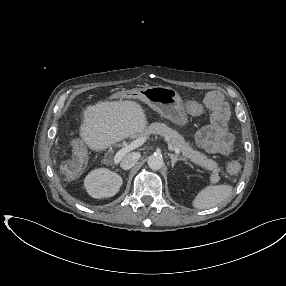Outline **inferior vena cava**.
Returning <instances> with one entry per match:
<instances>
[{"label":"inferior vena cava","instance_id":"1","mask_svg":"<svg viewBox=\"0 0 286 286\" xmlns=\"http://www.w3.org/2000/svg\"><path fill=\"white\" fill-rule=\"evenodd\" d=\"M139 158L140 154L135 152L129 153L123 157V159L120 162V166L124 170H129L137 163Z\"/></svg>","mask_w":286,"mask_h":286}]
</instances>
